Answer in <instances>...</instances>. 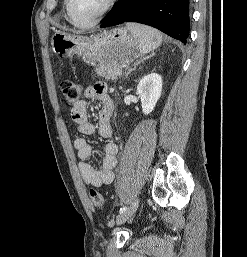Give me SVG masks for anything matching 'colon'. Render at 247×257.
<instances>
[{
	"label": "colon",
	"instance_id": "1",
	"mask_svg": "<svg viewBox=\"0 0 247 257\" xmlns=\"http://www.w3.org/2000/svg\"><path fill=\"white\" fill-rule=\"evenodd\" d=\"M64 100L69 105H74L80 101L82 96V88L70 79H64L60 84ZM90 198L92 205L97 209L104 207V198L97 190H90Z\"/></svg>",
	"mask_w": 247,
	"mask_h": 257
}]
</instances>
